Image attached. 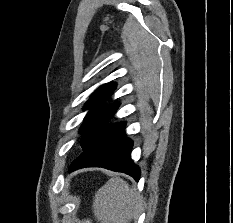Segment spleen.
Returning <instances> with one entry per match:
<instances>
[{
  "instance_id": "3e777b00",
  "label": "spleen",
  "mask_w": 233,
  "mask_h": 223,
  "mask_svg": "<svg viewBox=\"0 0 233 223\" xmlns=\"http://www.w3.org/2000/svg\"><path fill=\"white\" fill-rule=\"evenodd\" d=\"M143 197L121 177H111L96 191L92 209L100 223H129L141 213Z\"/></svg>"
}]
</instances>
